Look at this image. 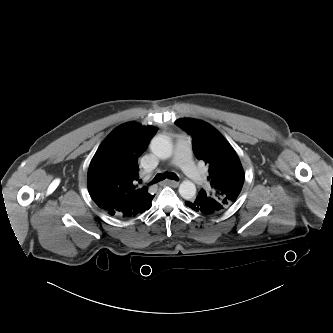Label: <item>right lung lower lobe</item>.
<instances>
[{
	"instance_id": "obj_1",
	"label": "right lung lower lobe",
	"mask_w": 333,
	"mask_h": 333,
	"mask_svg": "<svg viewBox=\"0 0 333 333\" xmlns=\"http://www.w3.org/2000/svg\"><path fill=\"white\" fill-rule=\"evenodd\" d=\"M108 214L112 215V216H117V217H124L123 215H121L120 213L114 211V210H110L107 211Z\"/></svg>"
}]
</instances>
